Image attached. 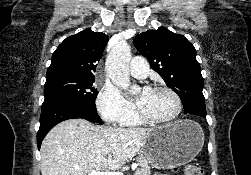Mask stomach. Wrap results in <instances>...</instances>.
I'll list each match as a JSON object with an SVG mask.
<instances>
[{"mask_svg": "<svg viewBox=\"0 0 251 175\" xmlns=\"http://www.w3.org/2000/svg\"><path fill=\"white\" fill-rule=\"evenodd\" d=\"M204 141V131L197 121L178 119L148 131L142 145L143 157L153 167L170 169L192 161L201 151Z\"/></svg>", "mask_w": 251, "mask_h": 175, "instance_id": "0dacf381", "label": "stomach"}]
</instances>
